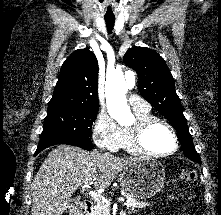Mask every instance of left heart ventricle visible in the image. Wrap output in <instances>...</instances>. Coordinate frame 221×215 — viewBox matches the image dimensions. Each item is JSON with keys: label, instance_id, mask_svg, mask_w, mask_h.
<instances>
[{"label": "left heart ventricle", "instance_id": "obj_1", "mask_svg": "<svg viewBox=\"0 0 221 215\" xmlns=\"http://www.w3.org/2000/svg\"><path fill=\"white\" fill-rule=\"evenodd\" d=\"M145 144L153 152L165 153L173 149L174 140L170 131L165 126L156 124L147 132Z\"/></svg>", "mask_w": 221, "mask_h": 215}]
</instances>
